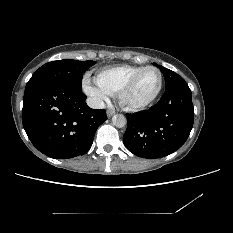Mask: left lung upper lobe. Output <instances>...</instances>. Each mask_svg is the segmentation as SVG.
<instances>
[{"mask_svg":"<svg viewBox=\"0 0 233 233\" xmlns=\"http://www.w3.org/2000/svg\"><path fill=\"white\" fill-rule=\"evenodd\" d=\"M155 65L158 67V65L156 63H155ZM159 68L164 75L166 89L171 88L172 86L176 85L177 83L185 82V80L177 73H175V72H173V71H171L163 66H159Z\"/></svg>","mask_w":233,"mask_h":233,"instance_id":"5c2ea615","label":"left lung upper lobe"}]
</instances>
